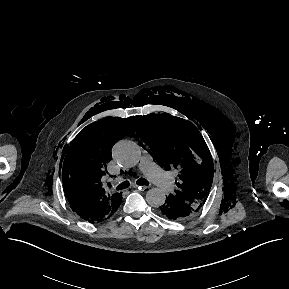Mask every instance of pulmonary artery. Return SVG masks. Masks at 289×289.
Listing matches in <instances>:
<instances>
[{
    "label": "pulmonary artery",
    "mask_w": 289,
    "mask_h": 289,
    "mask_svg": "<svg viewBox=\"0 0 289 289\" xmlns=\"http://www.w3.org/2000/svg\"><path fill=\"white\" fill-rule=\"evenodd\" d=\"M138 168L162 190L168 191L173 188V182L167 173L153 162L149 154H143Z\"/></svg>",
    "instance_id": "pulmonary-artery-1"
}]
</instances>
